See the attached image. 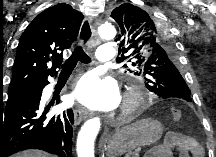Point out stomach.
<instances>
[{"instance_id":"1","label":"stomach","mask_w":216,"mask_h":157,"mask_svg":"<svg viewBox=\"0 0 216 157\" xmlns=\"http://www.w3.org/2000/svg\"><path fill=\"white\" fill-rule=\"evenodd\" d=\"M163 132L162 124L155 119H143L117 129L107 139L104 150L107 155H122L131 150L158 141Z\"/></svg>"}]
</instances>
